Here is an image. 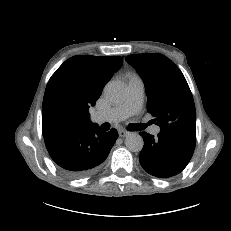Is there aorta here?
<instances>
[{"label": "aorta", "instance_id": "1", "mask_svg": "<svg viewBox=\"0 0 231 231\" xmlns=\"http://www.w3.org/2000/svg\"><path fill=\"white\" fill-rule=\"evenodd\" d=\"M105 96L114 103H120L125 99L126 86L121 81H110L104 88ZM125 145L131 152H140L143 148L144 141L141 135L132 132L127 135Z\"/></svg>", "mask_w": 231, "mask_h": 231}]
</instances>
